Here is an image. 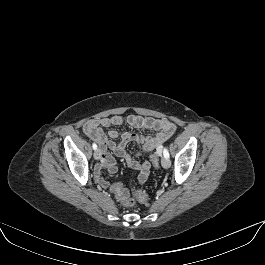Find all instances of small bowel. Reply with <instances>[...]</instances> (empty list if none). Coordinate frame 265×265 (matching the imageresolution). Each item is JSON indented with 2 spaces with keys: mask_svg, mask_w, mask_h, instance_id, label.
Wrapping results in <instances>:
<instances>
[{
  "mask_svg": "<svg viewBox=\"0 0 265 265\" xmlns=\"http://www.w3.org/2000/svg\"><path fill=\"white\" fill-rule=\"evenodd\" d=\"M124 121L125 119L122 116L112 115L109 117L88 120L83 125V131L86 136L97 142L103 149L101 164L95 169L96 180L103 188H107L108 183L101 176V167L103 166L107 168L110 173L116 172L114 158L111 154L106 152L107 149H110L116 156L124 159L129 168L139 171L138 182L143 184L148 179L150 173V162L139 161L136 157L129 155L126 152V146L131 142H136L141 146L142 152L152 153L176 130L175 124L167 119L129 115L126 118V122L129 125L142 130H153L155 131V135L140 136L131 132H124L121 135V141L117 143L113 141V139L118 138L119 133L117 130L111 129L108 132V136L111 138V140H109L101 127L120 126Z\"/></svg>",
  "mask_w": 265,
  "mask_h": 265,
  "instance_id": "c3829d8e",
  "label": "small bowel"
}]
</instances>
